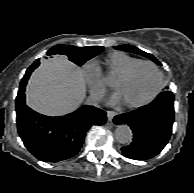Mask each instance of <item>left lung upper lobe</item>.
<instances>
[{
	"label": "left lung upper lobe",
	"mask_w": 194,
	"mask_h": 193,
	"mask_svg": "<svg viewBox=\"0 0 194 193\" xmlns=\"http://www.w3.org/2000/svg\"><path fill=\"white\" fill-rule=\"evenodd\" d=\"M115 48L119 49V50H123V51L132 52V53H135V54L142 55L144 57H147V58L151 59L156 64L161 65V63L153 55H151L149 53H146V52L138 49L137 47L130 46V45H119V46H116Z\"/></svg>",
	"instance_id": "1"
}]
</instances>
